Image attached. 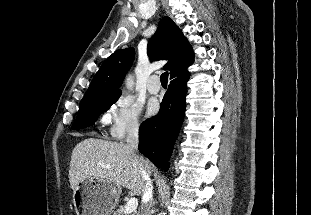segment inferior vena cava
Instances as JSON below:
<instances>
[{
	"label": "inferior vena cava",
	"instance_id": "inferior-vena-cava-1",
	"mask_svg": "<svg viewBox=\"0 0 311 215\" xmlns=\"http://www.w3.org/2000/svg\"><path fill=\"white\" fill-rule=\"evenodd\" d=\"M127 145L129 148L136 153L137 155V162L140 165V168L143 173L144 177V187H143V196L148 199V202H146L142 209H141V215H150V208L152 204V182L150 177L145 171L144 168V160L141 156L138 155V144H139V129L137 126H133L128 130L127 138H126Z\"/></svg>",
	"mask_w": 311,
	"mask_h": 215
}]
</instances>
